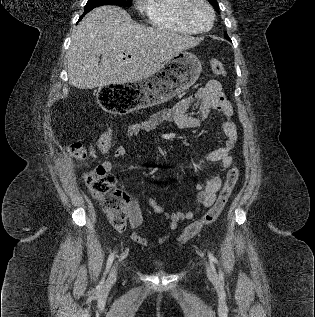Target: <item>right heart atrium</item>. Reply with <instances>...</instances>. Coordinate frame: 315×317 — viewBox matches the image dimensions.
Returning <instances> with one entry per match:
<instances>
[{"mask_svg":"<svg viewBox=\"0 0 315 317\" xmlns=\"http://www.w3.org/2000/svg\"><path fill=\"white\" fill-rule=\"evenodd\" d=\"M148 0H137V5L141 10H145Z\"/></svg>","mask_w":315,"mask_h":317,"instance_id":"1","label":"right heart atrium"}]
</instances>
